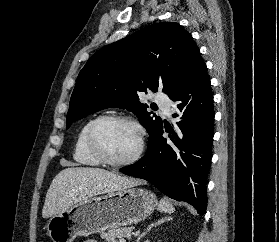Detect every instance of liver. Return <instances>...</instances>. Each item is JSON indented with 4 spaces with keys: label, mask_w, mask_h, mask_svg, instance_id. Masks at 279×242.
<instances>
[{
    "label": "liver",
    "mask_w": 279,
    "mask_h": 242,
    "mask_svg": "<svg viewBox=\"0 0 279 242\" xmlns=\"http://www.w3.org/2000/svg\"><path fill=\"white\" fill-rule=\"evenodd\" d=\"M142 181L111 171L90 167H69L60 171L47 191L43 218L61 213L73 204L99 194L140 185Z\"/></svg>",
    "instance_id": "obj_1"
}]
</instances>
